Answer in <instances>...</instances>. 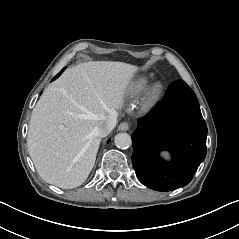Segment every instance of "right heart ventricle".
I'll use <instances>...</instances> for the list:
<instances>
[{
    "label": "right heart ventricle",
    "mask_w": 239,
    "mask_h": 239,
    "mask_svg": "<svg viewBox=\"0 0 239 239\" xmlns=\"http://www.w3.org/2000/svg\"><path fill=\"white\" fill-rule=\"evenodd\" d=\"M152 78L144 75L136 79L128 89L130 98H137L140 96L150 85Z\"/></svg>",
    "instance_id": "right-heart-ventricle-1"
}]
</instances>
